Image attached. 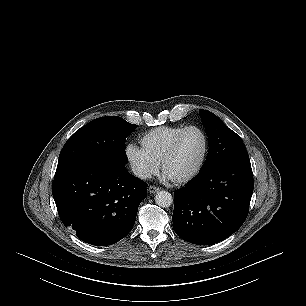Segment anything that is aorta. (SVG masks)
Wrapping results in <instances>:
<instances>
[{
  "label": "aorta",
  "instance_id": "762f6f07",
  "mask_svg": "<svg viewBox=\"0 0 306 306\" xmlns=\"http://www.w3.org/2000/svg\"><path fill=\"white\" fill-rule=\"evenodd\" d=\"M155 202L162 208L170 207L173 203L172 195L167 191H159L155 196Z\"/></svg>",
  "mask_w": 306,
  "mask_h": 306
}]
</instances>
